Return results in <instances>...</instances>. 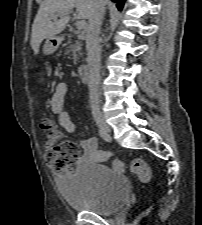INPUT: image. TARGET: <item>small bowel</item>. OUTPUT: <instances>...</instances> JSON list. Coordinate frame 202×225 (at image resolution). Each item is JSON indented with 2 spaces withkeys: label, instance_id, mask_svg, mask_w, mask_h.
<instances>
[{
  "label": "small bowel",
  "instance_id": "1",
  "mask_svg": "<svg viewBox=\"0 0 202 225\" xmlns=\"http://www.w3.org/2000/svg\"><path fill=\"white\" fill-rule=\"evenodd\" d=\"M68 86L65 82H59L56 85L55 92L50 98L49 106L52 113L56 116L59 126L68 133H73L76 126L70 115L64 110L65 97ZM82 148V160H89L95 163H105L109 154L107 151L97 149V140L95 137H86L80 141Z\"/></svg>",
  "mask_w": 202,
  "mask_h": 225
}]
</instances>
